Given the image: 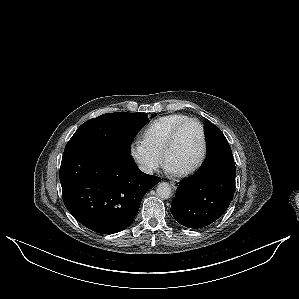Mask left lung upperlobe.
<instances>
[{
	"instance_id": "left-lung-upper-lobe-1",
	"label": "left lung upper lobe",
	"mask_w": 299,
	"mask_h": 299,
	"mask_svg": "<svg viewBox=\"0 0 299 299\" xmlns=\"http://www.w3.org/2000/svg\"><path fill=\"white\" fill-rule=\"evenodd\" d=\"M204 132L207 143V153L218 149H225L231 151L228 141L221 132V130L212 124L210 121H206L204 124Z\"/></svg>"
}]
</instances>
